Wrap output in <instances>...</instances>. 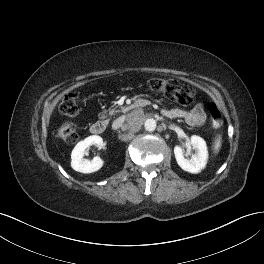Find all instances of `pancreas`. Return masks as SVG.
<instances>
[{"label": "pancreas", "instance_id": "pancreas-1", "mask_svg": "<svg viewBox=\"0 0 264 264\" xmlns=\"http://www.w3.org/2000/svg\"><path fill=\"white\" fill-rule=\"evenodd\" d=\"M120 110H116V109H112L108 112V115H114L115 113H119ZM106 115H107V111H103L102 114L100 115V118H106Z\"/></svg>", "mask_w": 264, "mask_h": 264}]
</instances>
